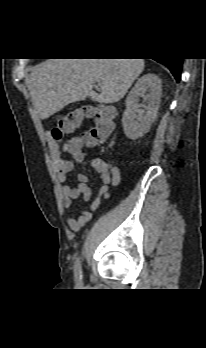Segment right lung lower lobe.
<instances>
[{
    "instance_id": "1",
    "label": "right lung lower lobe",
    "mask_w": 206,
    "mask_h": 348,
    "mask_svg": "<svg viewBox=\"0 0 206 348\" xmlns=\"http://www.w3.org/2000/svg\"><path fill=\"white\" fill-rule=\"evenodd\" d=\"M156 61H158L159 63L165 64L170 69L171 73L173 74L177 82L180 80L183 59L164 58V59H160Z\"/></svg>"
}]
</instances>
